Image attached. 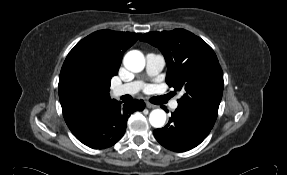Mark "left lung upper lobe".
Segmentation results:
<instances>
[{
    "label": "left lung upper lobe",
    "mask_w": 287,
    "mask_h": 175,
    "mask_svg": "<svg viewBox=\"0 0 287 175\" xmlns=\"http://www.w3.org/2000/svg\"><path fill=\"white\" fill-rule=\"evenodd\" d=\"M140 40L163 53L168 66L167 84L176 91H184L178 108L212 128L224 85L223 72L213 49L184 29L149 32Z\"/></svg>",
    "instance_id": "5c2ea615"
}]
</instances>
